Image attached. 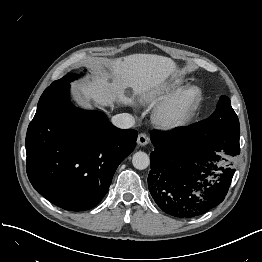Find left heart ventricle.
Returning <instances> with one entry per match:
<instances>
[{
    "label": "left heart ventricle",
    "mask_w": 262,
    "mask_h": 262,
    "mask_svg": "<svg viewBox=\"0 0 262 262\" xmlns=\"http://www.w3.org/2000/svg\"><path fill=\"white\" fill-rule=\"evenodd\" d=\"M194 98H195V93L194 92H188L186 94L185 98H184V103H183L184 107L189 108L191 106Z\"/></svg>",
    "instance_id": "obj_1"
}]
</instances>
